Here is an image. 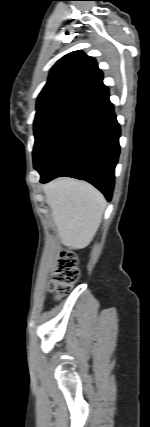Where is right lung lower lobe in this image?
Returning <instances> with one entry per match:
<instances>
[{
    "instance_id": "obj_1",
    "label": "right lung lower lobe",
    "mask_w": 150,
    "mask_h": 427,
    "mask_svg": "<svg viewBox=\"0 0 150 427\" xmlns=\"http://www.w3.org/2000/svg\"><path fill=\"white\" fill-rule=\"evenodd\" d=\"M120 126L106 93L66 125L38 168L40 182L68 176L86 180L110 201L119 156Z\"/></svg>"
}]
</instances>
